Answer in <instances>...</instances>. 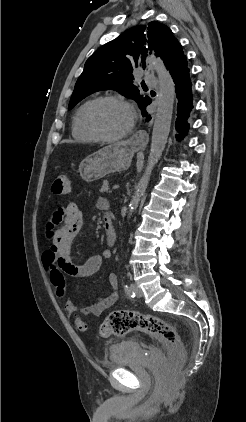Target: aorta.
I'll use <instances>...</instances> for the list:
<instances>
[{
  "instance_id": "obj_1",
  "label": "aorta",
  "mask_w": 246,
  "mask_h": 422,
  "mask_svg": "<svg viewBox=\"0 0 246 422\" xmlns=\"http://www.w3.org/2000/svg\"><path fill=\"white\" fill-rule=\"evenodd\" d=\"M149 63L155 70L159 80L157 110L154 118L151 148L147 166L129 203V216H131L133 211L138 207L140 198L149 182L152 170L162 156L167 143L173 114L175 97L173 80L161 60L151 58Z\"/></svg>"
}]
</instances>
